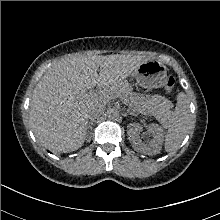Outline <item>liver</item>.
Wrapping results in <instances>:
<instances>
[{
	"mask_svg": "<svg viewBox=\"0 0 220 220\" xmlns=\"http://www.w3.org/2000/svg\"><path fill=\"white\" fill-rule=\"evenodd\" d=\"M147 61L136 55H78L51 66L37 83L29 118L34 134L47 148L68 153L86 139L89 113L117 94L138 66ZM100 68V73L97 71ZM98 87L95 98L87 90Z\"/></svg>",
	"mask_w": 220,
	"mask_h": 220,
	"instance_id": "6515ba94",
	"label": "liver"
}]
</instances>
